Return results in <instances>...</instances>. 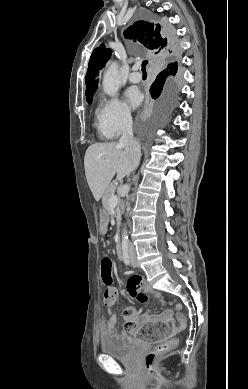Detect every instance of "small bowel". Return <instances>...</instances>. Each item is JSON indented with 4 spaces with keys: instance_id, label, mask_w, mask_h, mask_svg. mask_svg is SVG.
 <instances>
[{
    "instance_id": "1",
    "label": "small bowel",
    "mask_w": 248,
    "mask_h": 389,
    "mask_svg": "<svg viewBox=\"0 0 248 389\" xmlns=\"http://www.w3.org/2000/svg\"><path fill=\"white\" fill-rule=\"evenodd\" d=\"M145 274L143 272H131L130 276L127 277V286H126V292L133 300H135L137 303L142 304L148 300L149 297H154L158 299L161 302L165 301V297L162 293L153 290L148 286V284L145 282ZM116 290L118 294V290L115 287H112ZM118 298V297H117ZM116 302V301H115ZM108 305V317L103 322L101 332L102 336L106 335H112V334H121L123 336L128 337V334L126 331L117 332L116 330V323L117 318L114 310L112 309V305L115 303ZM178 309H181V306L178 307ZM171 313L165 312L161 315H145L136 323V328L133 330H138V327L141 326L144 322H150V321H156L160 319L170 318ZM131 330V332H133Z\"/></svg>"
}]
</instances>
